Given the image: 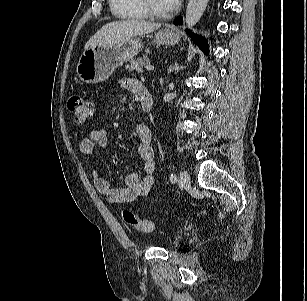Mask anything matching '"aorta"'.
I'll use <instances>...</instances> for the list:
<instances>
[{
	"instance_id": "obj_1",
	"label": "aorta",
	"mask_w": 307,
	"mask_h": 301,
	"mask_svg": "<svg viewBox=\"0 0 307 301\" xmlns=\"http://www.w3.org/2000/svg\"><path fill=\"white\" fill-rule=\"evenodd\" d=\"M208 0H189L185 15V24L188 28L194 27L202 17Z\"/></svg>"
}]
</instances>
